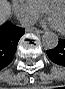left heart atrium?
<instances>
[{"label": "left heart atrium", "mask_w": 65, "mask_h": 89, "mask_svg": "<svg viewBox=\"0 0 65 89\" xmlns=\"http://www.w3.org/2000/svg\"><path fill=\"white\" fill-rule=\"evenodd\" d=\"M43 24L54 29H61L60 24L53 17L47 18L43 21Z\"/></svg>", "instance_id": "39dd6f15"}]
</instances>
